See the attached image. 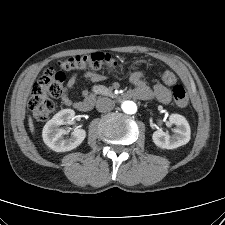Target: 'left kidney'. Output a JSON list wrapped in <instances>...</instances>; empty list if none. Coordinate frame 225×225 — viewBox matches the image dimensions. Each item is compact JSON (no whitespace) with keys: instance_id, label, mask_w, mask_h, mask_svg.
<instances>
[{"instance_id":"1","label":"left kidney","mask_w":225,"mask_h":225,"mask_svg":"<svg viewBox=\"0 0 225 225\" xmlns=\"http://www.w3.org/2000/svg\"><path fill=\"white\" fill-rule=\"evenodd\" d=\"M170 124H175L174 134L170 135L162 130H157L153 133L152 139L156 146L162 149H175L185 145L190 140V126L182 115L172 114L169 117Z\"/></svg>"}]
</instances>
